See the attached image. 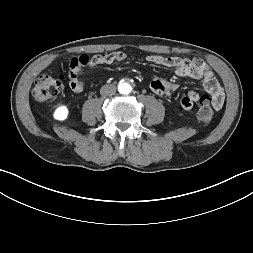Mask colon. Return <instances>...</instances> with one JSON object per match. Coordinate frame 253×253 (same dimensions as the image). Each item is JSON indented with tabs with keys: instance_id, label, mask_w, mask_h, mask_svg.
<instances>
[{
	"instance_id": "colon-1",
	"label": "colon",
	"mask_w": 253,
	"mask_h": 253,
	"mask_svg": "<svg viewBox=\"0 0 253 253\" xmlns=\"http://www.w3.org/2000/svg\"><path fill=\"white\" fill-rule=\"evenodd\" d=\"M112 61L111 56L105 55L101 57L99 55L92 58V65H98L102 62ZM84 70V64L78 57L76 60L71 59L69 63V78L67 80L68 88L70 91L77 95H80L85 90H89L92 87V82L89 79L81 80V72ZM63 76H53L49 74L40 75L34 83L32 89V96L36 101L44 102L54 97H57L63 89ZM200 107L197 113L198 120L204 124L209 125L214 118V112L212 109V101L209 96H202L199 99Z\"/></svg>"
}]
</instances>
